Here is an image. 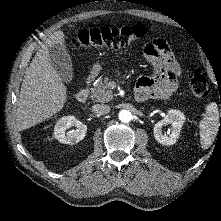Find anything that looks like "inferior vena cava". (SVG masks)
Masks as SVG:
<instances>
[{"label": "inferior vena cava", "mask_w": 221, "mask_h": 221, "mask_svg": "<svg viewBox=\"0 0 221 221\" xmlns=\"http://www.w3.org/2000/svg\"><path fill=\"white\" fill-rule=\"evenodd\" d=\"M92 111L98 115H105L110 112V106L105 104H95Z\"/></svg>", "instance_id": "inferior-vena-cava-1"}]
</instances>
